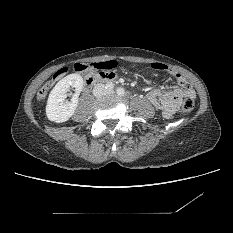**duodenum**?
Returning <instances> with one entry per match:
<instances>
[{
  "mask_svg": "<svg viewBox=\"0 0 233 233\" xmlns=\"http://www.w3.org/2000/svg\"><path fill=\"white\" fill-rule=\"evenodd\" d=\"M108 82L110 81V76L107 73H103V72H98L96 74H89L86 78H85V82L86 85L91 86L97 82Z\"/></svg>",
  "mask_w": 233,
  "mask_h": 233,
  "instance_id": "obj_1",
  "label": "duodenum"
}]
</instances>
